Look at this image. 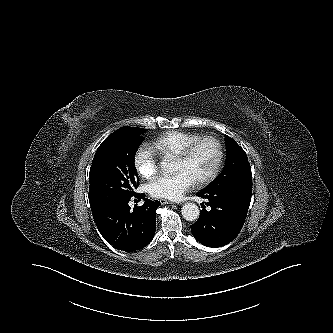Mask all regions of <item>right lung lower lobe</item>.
I'll return each mask as SVG.
<instances>
[{"mask_svg":"<svg viewBox=\"0 0 333 333\" xmlns=\"http://www.w3.org/2000/svg\"><path fill=\"white\" fill-rule=\"evenodd\" d=\"M144 198L134 193L119 197L91 208L94 221L104 239L116 249L126 252L140 250L150 243L156 229V209L159 201L146 199L133 210L129 207L131 197Z\"/></svg>","mask_w":333,"mask_h":333,"instance_id":"98d812e1","label":"right lung lower lobe"}]
</instances>
